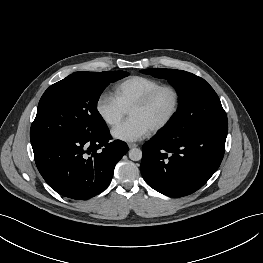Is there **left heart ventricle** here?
I'll list each match as a JSON object with an SVG mask.
<instances>
[{
	"mask_svg": "<svg viewBox=\"0 0 263 263\" xmlns=\"http://www.w3.org/2000/svg\"><path fill=\"white\" fill-rule=\"evenodd\" d=\"M173 102V94L169 90H163L147 107L129 110V117L140 119L152 129L169 114Z\"/></svg>",
	"mask_w": 263,
	"mask_h": 263,
	"instance_id": "left-heart-ventricle-1",
	"label": "left heart ventricle"
}]
</instances>
